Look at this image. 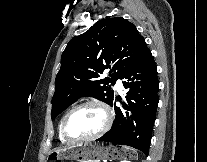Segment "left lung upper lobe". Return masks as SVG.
I'll use <instances>...</instances> for the list:
<instances>
[{
	"mask_svg": "<svg viewBox=\"0 0 207 162\" xmlns=\"http://www.w3.org/2000/svg\"><path fill=\"white\" fill-rule=\"evenodd\" d=\"M148 50L134 24L122 17L99 20L85 33L73 37L61 57L52 119L82 96L112 105L115 95L106 85L122 79ZM106 69H110V77L99 80Z\"/></svg>",
	"mask_w": 207,
	"mask_h": 162,
	"instance_id": "obj_1",
	"label": "left lung upper lobe"
}]
</instances>
